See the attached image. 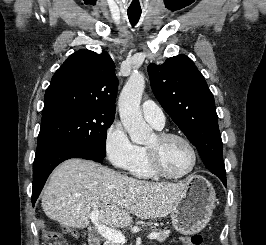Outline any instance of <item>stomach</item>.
Segmentation results:
<instances>
[{"label":"stomach","instance_id":"0dacf381","mask_svg":"<svg viewBox=\"0 0 266 245\" xmlns=\"http://www.w3.org/2000/svg\"><path fill=\"white\" fill-rule=\"evenodd\" d=\"M185 185V193L170 211L171 223L177 233L195 235L211 221L216 193L210 181L201 175H190Z\"/></svg>","mask_w":266,"mask_h":245}]
</instances>
